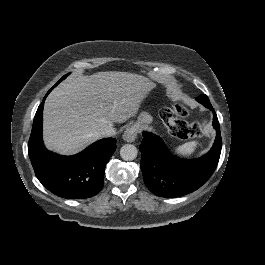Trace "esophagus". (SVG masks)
<instances>
[{
  "mask_svg": "<svg viewBox=\"0 0 265 265\" xmlns=\"http://www.w3.org/2000/svg\"><path fill=\"white\" fill-rule=\"evenodd\" d=\"M137 134H138V128L135 125H133L125 131L123 139L127 142H133L137 137Z\"/></svg>",
  "mask_w": 265,
  "mask_h": 265,
  "instance_id": "obj_1",
  "label": "esophagus"
}]
</instances>
